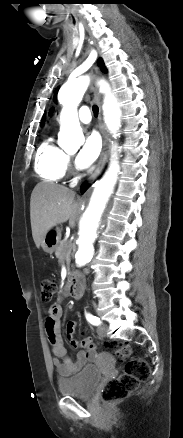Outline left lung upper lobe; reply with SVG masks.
I'll list each match as a JSON object with an SVG mask.
<instances>
[{
	"label": "left lung upper lobe",
	"instance_id": "left-lung-upper-lobe-1",
	"mask_svg": "<svg viewBox=\"0 0 183 438\" xmlns=\"http://www.w3.org/2000/svg\"><path fill=\"white\" fill-rule=\"evenodd\" d=\"M99 65H100V68H101V70L103 71V72H106V68H105V65H104V62L102 61V60H99ZM57 92V91H56ZM53 108L50 110V114H52V112H53Z\"/></svg>",
	"mask_w": 183,
	"mask_h": 438
}]
</instances>
